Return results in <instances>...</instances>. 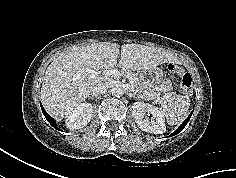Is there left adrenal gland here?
<instances>
[{
    "mask_svg": "<svg viewBox=\"0 0 236 178\" xmlns=\"http://www.w3.org/2000/svg\"><path fill=\"white\" fill-rule=\"evenodd\" d=\"M132 97H133L134 99H136V100H140V98L137 97V96H135V95H132Z\"/></svg>",
    "mask_w": 236,
    "mask_h": 178,
    "instance_id": "a2214340",
    "label": "left adrenal gland"
}]
</instances>
